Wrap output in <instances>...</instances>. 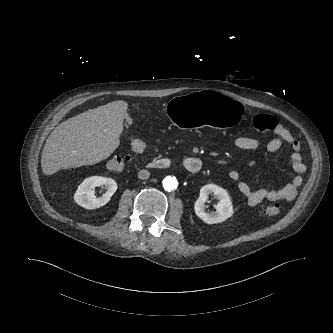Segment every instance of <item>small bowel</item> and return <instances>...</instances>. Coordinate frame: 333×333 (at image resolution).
I'll return each mask as SVG.
<instances>
[{"instance_id": "c3829d8e", "label": "small bowel", "mask_w": 333, "mask_h": 333, "mask_svg": "<svg viewBox=\"0 0 333 333\" xmlns=\"http://www.w3.org/2000/svg\"><path fill=\"white\" fill-rule=\"evenodd\" d=\"M274 138L263 145L259 140L248 137L239 136L234 139V144L237 148L244 151H257L265 148L268 152L274 153L280 150L283 143H286L292 149L290 157L291 165L297 175L292 182L285 187L273 190L268 188L253 189L248 183L241 180V174L237 170H231L228 177L231 181L237 183L238 191L246 198L249 206H255L263 201H292L298 188L302 183V174L305 172V165L301 156V144L298 139L281 123L275 122L273 129ZM131 149L136 154H143L147 150V144L141 139H135L131 143Z\"/></svg>"}]
</instances>
